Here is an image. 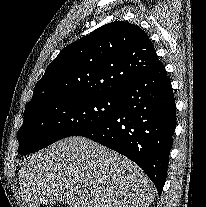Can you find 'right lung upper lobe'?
<instances>
[{
  "instance_id": "right-lung-upper-lobe-1",
  "label": "right lung upper lobe",
  "mask_w": 206,
  "mask_h": 207,
  "mask_svg": "<svg viewBox=\"0 0 206 207\" xmlns=\"http://www.w3.org/2000/svg\"><path fill=\"white\" fill-rule=\"evenodd\" d=\"M158 62L154 46L139 26L109 23L58 54L36 84L26 109L53 98L121 94Z\"/></svg>"
}]
</instances>
